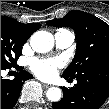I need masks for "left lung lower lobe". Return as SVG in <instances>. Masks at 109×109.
I'll return each instance as SVG.
<instances>
[{"instance_id":"left-lung-lower-lobe-1","label":"left lung lower lobe","mask_w":109,"mask_h":109,"mask_svg":"<svg viewBox=\"0 0 109 109\" xmlns=\"http://www.w3.org/2000/svg\"><path fill=\"white\" fill-rule=\"evenodd\" d=\"M74 78L77 84L62 88L63 98L53 109H99L109 96V67L94 66Z\"/></svg>"}]
</instances>
